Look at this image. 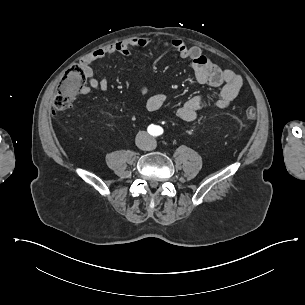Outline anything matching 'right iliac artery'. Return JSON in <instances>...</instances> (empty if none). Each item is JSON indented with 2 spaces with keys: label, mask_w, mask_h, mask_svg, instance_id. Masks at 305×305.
I'll use <instances>...</instances> for the list:
<instances>
[{
  "label": "right iliac artery",
  "mask_w": 305,
  "mask_h": 305,
  "mask_svg": "<svg viewBox=\"0 0 305 305\" xmlns=\"http://www.w3.org/2000/svg\"><path fill=\"white\" fill-rule=\"evenodd\" d=\"M151 129H155V125H151V126H149Z\"/></svg>",
  "instance_id": "82829eb1"
}]
</instances>
